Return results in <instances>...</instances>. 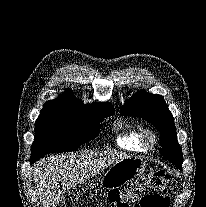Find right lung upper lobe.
I'll use <instances>...</instances> for the list:
<instances>
[{
	"mask_svg": "<svg viewBox=\"0 0 206 207\" xmlns=\"http://www.w3.org/2000/svg\"><path fill=\"white\" fill-rule=\"evenodd\" d=\"M44 106L47 107H63L83 111H95L99 109H114L110 103H94V104H84L82 101H78L72 92V90H67L64 94L60 95L54 100L47 101Z\"/></svg>",
	"mask_w": 206,
	"mask_h": 207,
	"instance_id": "cb5924a9",
	"label": "right lung upper lobe"
}]
</instances>
